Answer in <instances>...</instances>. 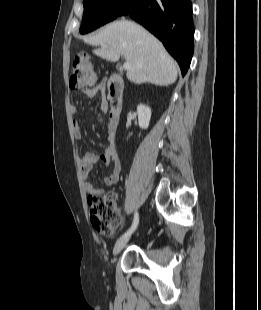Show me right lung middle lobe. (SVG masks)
Wrapping results in <instances>:
<instances>
[{
    "label": "right lung middle lobe",
    "instance_id": "right-lung-middle-lobe-1",
    "mask_svg": "<svg viewBox=\"0 0 261 310\" xmlns=\"http://www.w3.org/2000/svg\"><path fill=\"white\" fill-rule=\"evenodd\" d=\"M129 0H83L84 15L80 33L85 34L114 20Z\"/></svg>",
    "mask_w": 261,
    "mask_h": 310
}]
</instances>
